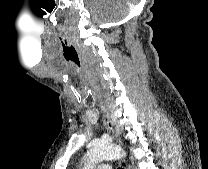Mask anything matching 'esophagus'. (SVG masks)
Listing matches in <instances>:
<instances>
[{"label": "esophagus", "instance_id": "obj_1", "mask_svg": "<svg viewBox=\"0 0 208 169\" xmlns=\"http://www.w3.org/2000/svg\"><path fill=\"white\" fill-rule=\"evenodd\" d=\"M101 110L103 112V123L107 127V129L112 132L117 141L120 143L119 133L117 132L114 121L110 118L109 112L105 106H101ZM121 165L123 169H127V163L124 159L121 160Z\"/></svg>", "mask_w": 208, "mask_h": 169}]
</instances>
